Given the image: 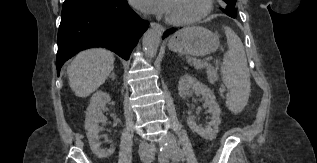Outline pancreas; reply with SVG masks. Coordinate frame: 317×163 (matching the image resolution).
<instances>
[{
	"instance_id": "obj_1",
	"label": "pancreas",
	"mask_w": 317,
	"mask_h": 163,
	"mask_svg": "<svg viewBox=\"0 0 317 163\" xmlns=\"http://www.w3.org/2000/svg\"><path fill=\"white\" fill-rule=\"evenodd\" d=\"M191 62L196 69H206L209 81L214 82L217 80V70L215 68L198 59H192Z\"/></svg>"
}]
</instances>
